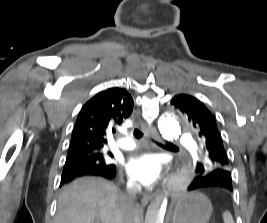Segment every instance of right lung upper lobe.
<instances>
[{
  "label": "right lung upper lobe",
  "instance_id": "cb5924a9",
  "mask_svg": "<svg viewBox=\"0 0 267 223\" xmlns=\"http://www.w3.org/2000/svg\"><path fill=\"white\" fill-rule=\"evenodd\" d=\"M133 106L131 95L122 88H110L95 95L79 112L69 151L86 146L103 149L109 130L121 125L131 115Z\"/></svg>",
  "mask_w": 267,
  "mask_h": 223
}]
</instances>
